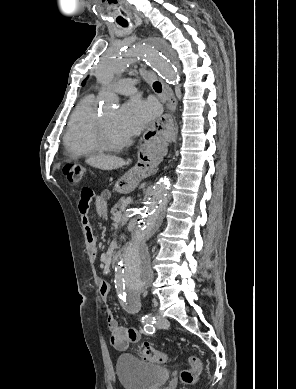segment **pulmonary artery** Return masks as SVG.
Wrapping results in <instances>:
<instances>
[{"instance_id":"pulmonary-artery-1","label":"pulmonary artery","mask_w":296,"mask_h":389,"mask_svg":"<svg viewBox=\"0 0 296 389\" xmlns=\"http://www.w3.org/2000/svg\"><path fill=\"white\" fill-rule=\"evenodd\" d=\"M107 89L122 95H131L136 92L135 81L132 79H121L115 81L110 84Z\"/></svg>"}]
</instances>
